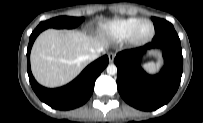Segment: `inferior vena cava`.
Segmentation results:
<instances>
[{
	"mask_svg": "<svg viewBox=\"0 0 203 123\" xmlns=\"http://www.w3.org/2000/svg\"><path fill=\"white\" fill-rule=\"evenodd\" d=\"M102 51H103V49L100 48L97 52L94 51V52L88 54L86 56V59L89 60V61H93V60H95V59H97L99 57V53L102 52Z\"/></svg>",
	"mask_w": 203,
	"mask_h": 123,
	"instance_id": "inferior-vena-cava-1",
	"label": "inferior vena cava"
}]
</instances>
